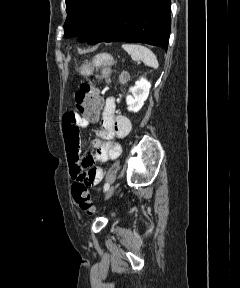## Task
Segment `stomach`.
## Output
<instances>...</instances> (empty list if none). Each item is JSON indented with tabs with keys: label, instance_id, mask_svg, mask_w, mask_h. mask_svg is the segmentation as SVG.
Here are the masks:
<instances>
[{
	"label": "stomach",
	"instance_id": "stomach-1",
	"mask_svg": "<svg viewBox=\"0 0 240 288\" xmlns=\"http://www.w3.org/2000/svg\"><path fill=\"white\" fill-rule=\"evenodd\" d=\"M114 64V59L113 57L108 54V53H100L97 54L92 62H85L79 69L78 71L82 75H90L93 72L94 68H99L101 66H107V65H113Z\"/></svg>",
	"mask_w": 240,
	"mask_h": 288
}]
</instances>
